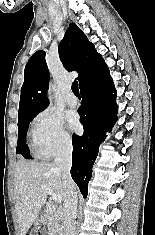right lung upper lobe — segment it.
Segmentation results:
<instances>
[{"label":"right lung upper lobe","mask_w":155,"mask_h":235,"mask_svg":"<svg viewBox=\"0 0 155 235\" xmlns=\"http://www.w3.org/2000/svg\"><path fill=\"white\" fill-rule=\"evenodd\" d=\"M58 53L67 70L79 73L77 79L80 88L109 71L102 56L75 23L70 24L66 30ZM45 54L42 50L35 52L25 66L18 117L41 112L48 107L49 70Z\"/></svg>","instance_id":"1"}]
</instances>
